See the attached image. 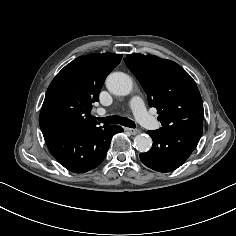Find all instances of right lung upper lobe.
Masks as SVG:
<instances>
[{"instance_id":"cb5924a9","label":"right lung upper lobe","mask_w":236,"mask_h":236,"mask_svg":"<svg viewBox=\"0 0 236 236\" xmlns=\"http://www.w3.org/2000/svg\"><path fill=\"white\" fill-rule=\"evenodd\" d=\"M121 54H90L66 65L52 80L42 105L39 125L43 132L91 128L90 115L106 76L120 63Z\"/></svg>"}]
</instances>
